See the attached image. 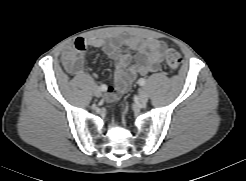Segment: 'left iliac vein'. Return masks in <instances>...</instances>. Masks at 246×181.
I'll return each instance as SVG.
<instances>
[{
  "label": "left iliac vein",
  "instance_id": "1",
  "mask_svg": "<svg viewBox=\"0 0 246 181\" xmlns=\"http://www.w3.org/2000/svg\"><path fill=\"white\" fill-rule=\"evenodd\" d=\"M139 101L142 103V104H145L147 103L148 101V94L145 90H141L139 92Z\"/></svg>",
  "mask_w": 246,
  "mask_h": 181
}]
</instances>
